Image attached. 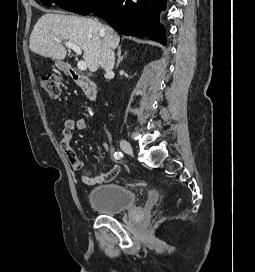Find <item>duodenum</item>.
Returning a JSON list of instances; mask_svg holds the SVG:
<instances>
[{
	"label": "duodenum",
	"mask_w": 255,
	"mask_h": 272,
	"mask_svg": "<svg viewBox=\"0 0 255 272\" xmlns=\"http://www.w3.org/2000/svg\"><path fill=\"white\" fill-rule=\"evenodd\" d=\"M63 68L89 100H95L98 97V89L93 80L79 73L71 65L65 64Z\"/></svg>",
	"instance_id": "410a0bca"
}]
</instances>
